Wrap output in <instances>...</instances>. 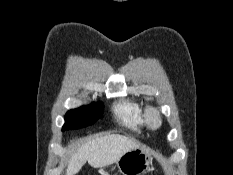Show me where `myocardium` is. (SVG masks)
<instances>
[{
    "mask_svg": "<svg viewBox=\"0 0 233 175\" xmlns=\"http://www.w3.org/2000/svg\"><path fill=\"white\" fill-rule=\"evenodd\" d=\"M145 122L151 129H157L162 124L160 112L155 107H148L145 110Z\"/></svg>",
    "mask_w": 233,
    "mask_h": 175,
    "instance_id": "1",
    "label": "myocardium"
}]
</instances>
